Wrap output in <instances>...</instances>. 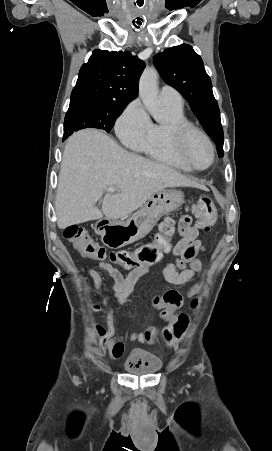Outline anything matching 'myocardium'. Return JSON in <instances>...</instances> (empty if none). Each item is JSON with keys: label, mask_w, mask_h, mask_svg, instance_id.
Listing matches in <instances>:
<instances>
[{"label": "myocardium", "mask_w": 272, "mask_h": 451, "mask_svg": "<svg viewBox=\"0 0 272 451\" xmlns=\"http://www.w3.org/2000/svg\"><path fill=\"white\" fill-rule=\"evenodd\" d=\"M167 139L173 143L179 166L186 172H197L199 169L191 167L186 161L187 144L191 136L196 135L201 139L210 154V162L206 168H210L215 163L216 153L213 144L207 135L199 128L186 121L172 120L167 128Z\"/></svg>", "instance_id": "myocardium-1"}]
</instances>
